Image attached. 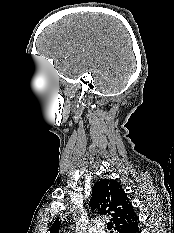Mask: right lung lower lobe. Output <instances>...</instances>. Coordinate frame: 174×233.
Segmentation results:
<instances>
[{
  "label": "right lung lower lobe",
  "instance_id": "right-lung-lower-lobe-1",
  "mask_svg": "<svg viewBox=\"0 0 174 233\" xmlns=\"http://www.w3.org/2000/svg\"><path fill=\"white\" fill-rule=\"evenodd\" d=\"M125 233H140V230H139V227H138V224L135 225L133 228L125 231Z\"/></svg>",
  "mask_w": 174,
  "mask_h": 233
}]
</instances>
